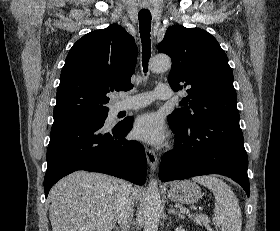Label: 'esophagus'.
Listing matches in <instances>:
<instances>
[{
  "mask_svg": "<svg viewBox=\"0 0 280 231\" xmlns=\"http://www.w3.org/2000/svg\"><path fill=\"white\" fill-rule=\"evenodd\" d=\"M145 154L147 158V163L149 165V168L152 172L156 171L158 166V157L154 150L145 147Z\"/></svg>",
  "mask_w": 280,
  "mask_h": 231,
  "instance_id": "34e87169",
  "label": "esophagus"
}]
</instances>
